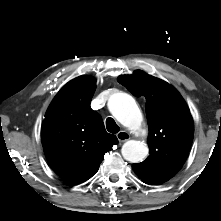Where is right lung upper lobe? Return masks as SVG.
Wrapping results in <instances>:
<instances>
[{"instance_id":"1","label":"right lung upper lobe","mask_w":221,"mask_h":221,"mask_svg":"<svg viewBox=\"0 0 221 221\" xmlns=\"http://www.w3.org/2000/svg\"><path fill=\"white\" fill-rule=\"evenodd\" d=\"M96 81L79 76L64 85L50 104L41 138L52 169L70 183H81L94 175L118 140L105 130L101 116L90 102Z\"/></svg>"}]
</instances>
